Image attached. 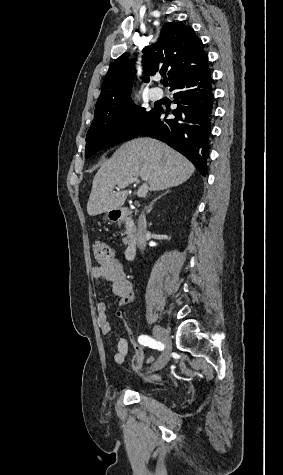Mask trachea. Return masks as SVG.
<instances>
[{
  "mask_svg": "<svg viewBox=\"0 0 283 475\" xmlns=\"http://www.w3.org/2000/svg\"><path fill=\"white\" fill-rule=\"evenodd\" d=\"M162 83H163L164 86H167V85H168V81H165V80H164Z\"/></svg>",
  "mask_w": 283,
  "mask_h": 475,
  "instance_id": "1",
  "label": "trachea"
}]
</instances>
